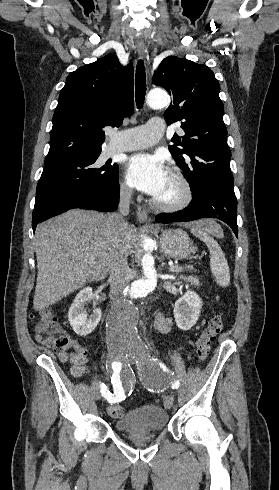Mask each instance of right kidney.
<instances>
[{"instance_id":"right-kidney-1","label":"right kidney","mask_w":279,"mask_h":490,"mask_svg":"<svg viewBox=\"0 0 279 490\" xmlns=\"http://www.w3.org/2000/svg\"><path fill=\"white\" fill-rule=\"evenodd\" d=\"M90 300H92V288H83L69 308L68 320L77 336H88L101 320L100 308H94L92 316H88L85 306Z\"/></svg>"}]
</instances>
